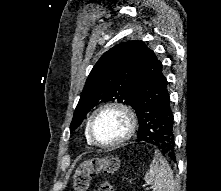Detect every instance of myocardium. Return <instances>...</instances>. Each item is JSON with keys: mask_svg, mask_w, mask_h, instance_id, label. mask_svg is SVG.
I'll return each mask as SVG.
<instances>
[{"mask_svg": "<svg viewBox=\"0 0 221 191\" xmlns=\"http://www.w3.org/2000/svg\"><path fill=\"white\" fill-rule=\"evenodd\" d=\"M106 111H116L122 114V116L126 121V129L124 134L119 139L109 143H101L96 140L93 129L97 117L101 113ZM137 126H138V119L136 113L131 107L121 102H108L99 106L92 113L87 126V134L92 144L100 148H115L127 142L134 135Z\"/></svg>", "mask_w": 221, "mask_h": 191, "instance_id": "obj_1", "label": "myocardium"}]
</instances>
